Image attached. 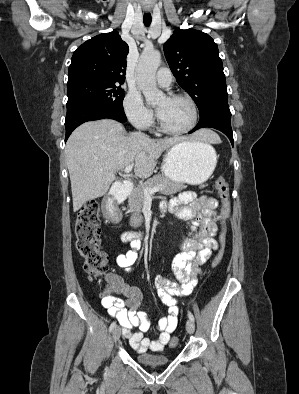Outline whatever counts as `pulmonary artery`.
I'll list each match as a JSON object with an SVG mask.
<instances>
[{
	"mask_svg": "<svg viewBox=\"0 0 299 394\" xmlns=\"http://www.w3.org/2000/svg\"><path fill=\"white\" fill-rule=\"evenodd\" d=\"M156 80L158 84L164 88L170 87L172 83V74L168 68H161L157 72Z\"/></svg>",
	"mask_w": 299,
	"mask_h": 394,
	"instance_id": "1",
	"label": "pulmonary artery"
}]
</instances>
